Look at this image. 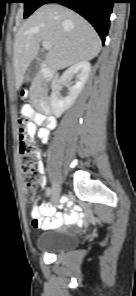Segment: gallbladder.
I'll return each mask as SVG.
<instances>
[{"label":"gallbladder","mask_w":136,"mask_h":296,"mask_svg":"<svg viewBox=\"0 0 136 296\" xmlns=\"http://www.w3.org/2000/svg\"><path fill=\"white\" fill-rule=\"evenodd\" d=\"M45 59V55L43 53H39L37 57L33 60L28 76L30 79L34 78L36 74L39 72L41 63Z\"/></svg>","instance_id":"obj_1"}]
</instances>
